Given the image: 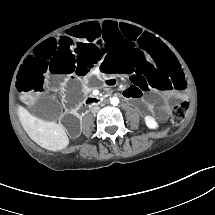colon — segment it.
<instances>
[{"instance_id":"obj_1","label":"colon","mask_w":215,"mask_h":215,"mask_svg":"<svg viewBox=\"0 0 215 215\" xmlns=\"http://www.w3.org/2000/svg\"><path fill=\"white\" fill-rule=\"evenodd\" d=\"M189 109V103L188 102H182L177 104L171 113V122L173 125L178 126L180 125L187 114V111Z\"/></svg>"}]
</instances>
